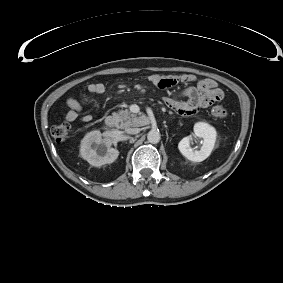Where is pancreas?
I'll list each match as a JSON object with an SVG mask.
<instances>
[{
	"label": "pancreas",
	"instance_id": "obj_1",
	"mask_svg": "<svg viewBox=\"0 0 283 283\" xmlns=\"http://www.w3.org/2000/svg\"><path fill=\"white\" fill-rule=\"evenodd\" d=\"M113 117L118 121L119 128L140 126V117L131 113L128 109L113 113Z\"/></svg>",
	"mask_w": 283,
	"mask_h": 283
}]
</instances>
